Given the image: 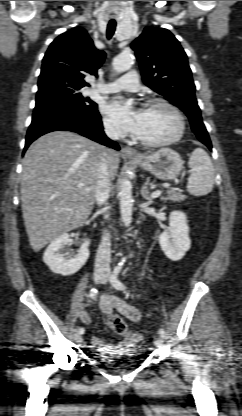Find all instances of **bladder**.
I'll list each match as a JSON object with an SVG mask.
<instances>
[{
  "label": "bladder",
  "instance_id": "1",
  "mask_svg": "<svg viewBox=\"0 0 242 416\" xmlns=\"http://www.w3.org/2000/svg\"><path fill=\"white\" fill-rule=\"evenodd\" d=\"M110 366L114 369H120V368L126 367V365H115V364H112Z\"/></svg>",
  "mask_w": 242,
  "mask_h": 416
}]
</instances>
